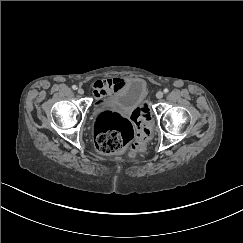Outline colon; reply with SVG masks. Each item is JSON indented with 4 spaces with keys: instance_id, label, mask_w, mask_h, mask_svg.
Listing matches in <instances>:
<instances>
[{
    "instance_id": "obj_1",
    "label": "colon",
    "mask_w": 243,
    "mask_h": 243,
    "mask_svg": "<svg viewBox=\"0 0 243 243\" xmlns=\"http://www.w3.org/2000/svg\"><path fill=\"white\" fill-rule=\"evenodd\" d=\"M141 118L138 133H135L130 121L117 112L104 110L95 117V145L97 150L106 155H112L129 149L136 153L144 149L151 135L152 113L147 105L138 112Z\"/></svg>"
}]
</instances>
